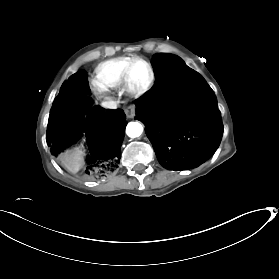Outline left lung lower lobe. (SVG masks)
<instances>
[{"label":"left lung lower lobe","instance_id":"obj_1","mask_svg":"<svg viewBox=\"0 0 279 279\" xmlns=\"http://www.w3.org/2000/svg\"><path fill=\"white\" fill-rule=\"evenodd\" d=\"M159 163L168 170H187L208 160L220 145L223 124L215 95L193 71L174 90L157 98L134 101Z\"/></svg>","mask_w":279,"mask_h":279}]
</instances>
